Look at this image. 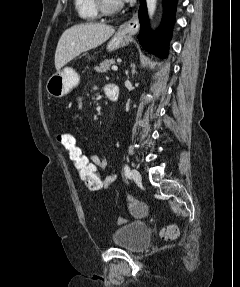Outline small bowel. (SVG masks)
<instances>
[{"instance_id": "obj_1", "label": "small bowel", "mask_w": 240, "mask_h": 287, "mask_svg": "<svg viewBox=\"0 0 240 287\" xmlns=\"http://www.w3.org/2000/svg\"><path fill=\"white\" fill-rule=\"evenodd\" d=\"M108 86L109 85H107L104 89L105 93L107 92ZM76 109L77 110L80 109L79 98L76 99ZM89 158L97 166L98 169H105L107 167V160L104 157L99 156L97 154H90ZM115 180H116V174L111 173L110 175L103 177V186L108 187L112 185L115 182ZM126 202L128 204L129 210L135 216H137L138 212H143L144 214L147 212L146 204L139 201L132 195L126 196Z\"/></svg>"}]
</instances>
